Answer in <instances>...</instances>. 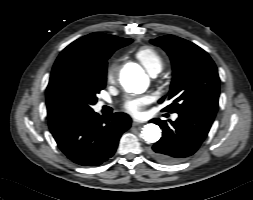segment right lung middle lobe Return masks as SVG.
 I'll return each mask as SVG.
<instances>
[{"instance_id":"obj_1","label":"right lung middle lobe","mask_w":253,"mask_h":200,"mask_svg":"<svg viewBox=\"0 0 253 200\" xmlns=\"http://www.w3.org/2000/svg\"><path fill=\"white\" fill-rule=\"evenodd\" d=\"M131 42V39H127L112 48L101 65L68 64L57 72L54 80V96L59 110L64 115L93 111L92 106L97 102L96 95L106 85V60L115 50Z\"/></svg>"}]
</instances>
